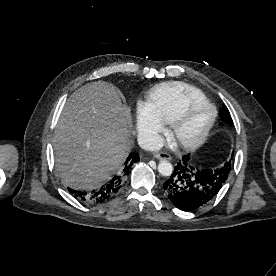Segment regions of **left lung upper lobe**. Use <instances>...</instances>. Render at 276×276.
<instances>
[{
    "label": "left lung upper lobe",
    "instance_id": "5c2ea615",
    "mask_svg": "<svg viewBox=\"0 0 276 276\" xmlns=\"http://www.w3.org/2000/svg\"><path fill=\"white\" fill-rule=\"evenodd\" d=\"M220 117L222 118V120L226 123H229L230 125H232L233 121L230 117V113L228 111V109L226 107H223L221 110H220ZM221 167H226L229 169V172L231 171V161L229 162H226L223 166ZM220 167V168H221ZM220 168H217V170H219Z\"/></svg>",
    "mask_w": 276,
    "mask_h": 276
}]
</instances>
